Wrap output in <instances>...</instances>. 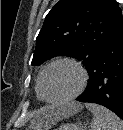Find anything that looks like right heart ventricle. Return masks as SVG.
<instances>
[{
	"label": "right heart ventricle",
	"mask_w": 123,
	"mask_h": 130,
	"mask_svg": "<svg viewBox=\"0 0 123 130\" xmlns=\"http://www.w3.org/2000/svg\"><path fill=\"white\" fill-rule=\"evenodd\" d=\"M38 82H39V76H38L37 81H36V91H37L38 97H40L39 96V89H38Z\"/></svg>",
	"instance_id": "right-heart-ventricle-1"
}]
</instances>
